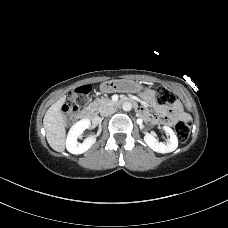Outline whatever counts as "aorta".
I'll list each match as a JSON object with an SVG mask.
<instances>
[{
	"label": "aorta",
	"instance_id": "762f6f07",
	"mask_svg": "<svg viewBox=\"0 0 228 228\" xmlns=\"http://www.w3.org/2000/svg\"><path fill=\"white\" fill-rule=\"evenodd\" d=\"M122 109L124 111H130L132 109V104L130 102H125L123 105H122Z\"/></svg>",
	"mask_w": 228,
	"mask_h": 228
}]
</instances>
